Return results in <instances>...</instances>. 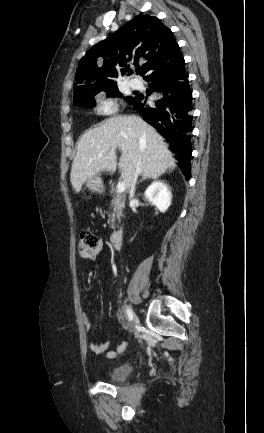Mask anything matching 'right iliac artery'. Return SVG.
I'll return each instance as SVG.
<instances>
[{"label": "right iliac artery", "instance_id": "obj_1", "mask_svg": "<svg viewBox=\"0 0 264 433\" xmlns=\"http://www.w3.org/2000/svg\"><path fill=\"white\" fill-rule=\"evenodd\" d=\"M125 312H126V314L128 316V319L130 321L133 320V312H132V310L129 307H125Z\"/></svg>", "mask_w": 264, "mask_h": 433}]
</instances>
